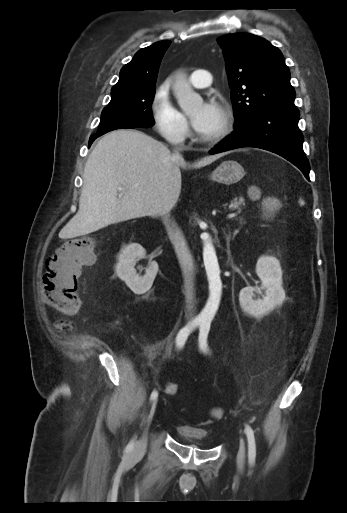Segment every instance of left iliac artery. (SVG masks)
<instances>
[{"instance_id": "left-iliac-artery-1", "label": "left iliac artery", "mask_w": 347, "mask_h": 513, "mask_svg": "<svg viewBox=\"0 0 347 513\" xmlns=\"http://www.w3.org/2000/svg\"><path fill=\"white\" fill-rule=\"evenodd\" d=\"M211 322L209 320H204L200 324V333H199V347L203 352H208V343H207V337L210 331ZM245 432L247 436L248 441V461L249 464L252 466L255 462L256 458V444H255V437H254V431L249 425L245 426Z\"/></svg>"}]
</instances>
